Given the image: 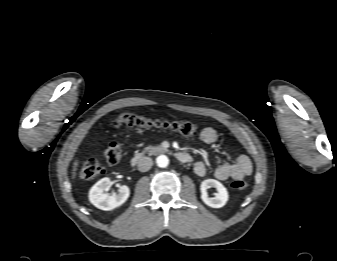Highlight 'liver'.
I'll return each mask as SVG.
<instances>
[{
  "mask_svg": "<svg viewBox=\"0 0 337 261\" xmlns=\"http://www.w3.org/2000/svg\"><path fill=\"white\" fill-rule=\"evenodd\" d=\"M78 159H76L73 163V173H72V178L75 179L76 177V171H77V167H78Z\"/></svg>",
  "mask_w": 337,
  "mask_h": 261,
  "instance_id": "6515ba94",
  "label": "liver"
}]
</instances>
